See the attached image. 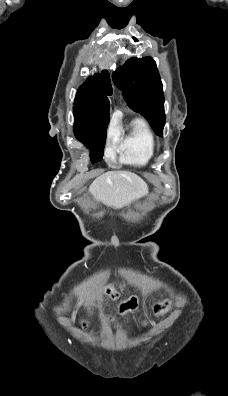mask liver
Listing matches in <instances>:
<instances>
[{"mask_svg":"<svg viewBox=\"0 0 228 396\" xmlns=\"http://www.w3.org/2000/svg\"><path fill=\"white\" fill-rule=\"evenodd\" d=\"M89 191L97 201L113 208H122L147 195L148 186L134 173L109 171L97 177Z\"/></svg>","mask_w":228,"mask_h":396,"instance_id":"1","label":"liver"}]
</instances>
